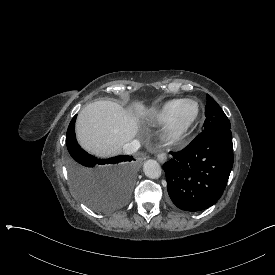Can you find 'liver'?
Instances as JSON below:
<instances>
[{
  "label": "liver",
  "mask_w": 275,
  "mask_h": 275,
  "mask_svg": "<svg viewBox=\"0 0 275 275\" xmlns=\"http://www.w3.org/2000/svg\"><path fill=\"white\" fill-rule=\"evenodd\" d=\"M149 115V107L139 100L130 101L126 107L110 100L92 102L77 116L76 140L97 158L119 156L123 145L141 134Z\"/></svg>",
  "instance_id": "liver-1"
}]
</instances>
